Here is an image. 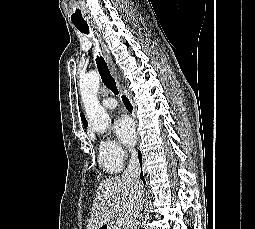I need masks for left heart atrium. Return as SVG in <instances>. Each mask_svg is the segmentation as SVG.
I'll return each mask as SVG.
<instances>
[{"label": "left heart atrium", "instance_id": "39dd6f15", "mask_svg": "<svg viewBox=\"0 0 255 229\" xmlns=\"http://www.w3.org/2000/svg\"><path fill=\"white\" fill-rule=\"evenodd\" d=\"M116 136L126 145L132 146L136 141V129L133 121L127 116L119 117L114 123Z\"/></svg>", "mask_w": 255, "mask_h": 229}]
</instances>
